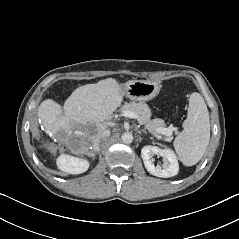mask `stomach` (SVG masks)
<instances>
[{
    "instance_id": "stomach-1",
    "label": "stomach",
    "mask_w": 239,
    "mask_h": 239,
    "mask_svg": "<svg viewBox=\"0 0 239 239\" xmlns=\"http://www.w3.org/2000/svg\"><path fill=\"white\" fill-rule=\"evenodd\" d=\"M159 83L150 80H131L122 86L125 97L139 102H146L155 98L160 92Z\"/></svg>"
}]
</instances>
